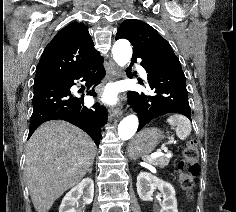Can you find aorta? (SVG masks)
<instances>
[{"mask_svg":"<svg viewBox=\"0 0 236 212\" xmlns=\"http://www.w3.org/2000/svg\"><path fill=\"white\" fill-rule=\"evenodd\" d=\"M112 54L115 62L124 67L130 62L132 57V48L128 40L121 39L115 42L112 48ZM138 118L131 114L126 116L118 126V137L121 140L130 139L138 129Z\"/></svg>","mask_w":236,"mask_h":212,"instance_id":"1","label":"aorta"}]
</instances>
